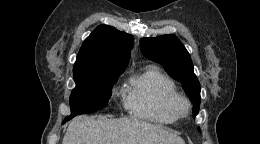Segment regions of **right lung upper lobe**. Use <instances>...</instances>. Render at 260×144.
<instances>
[{
	"label": "right lung upper lobe",
	"mask_w": 260,
	"mask_h": 144,
	"mask_svg": "<svg viewBox=\"0 0 260 144\" xmlns=\"http://www.w3.org/2000/svg\"><path fill=\"white\" fill-rule=\"evenodd\" d=\"M133 36L109 25H99L83 42L73 74L124 70L130 59Z\"/></svg>",
	"instance_id": "right-lung-upper-lobe-1"
}]
</instances>
